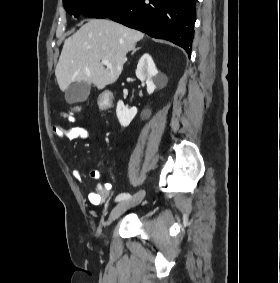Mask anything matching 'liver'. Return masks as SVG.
I'll use <instances>...</instances> for the list:
<instances>
[{
    "instance_id": "liver-1",
    "label": "liver",
    "mask_w": 280,
    "mask_h": 283,
    "mask_svg": "<svg viewBox=\"0 0 280 283\" xmlns=\"http://www.w3.org/2000/svg\"><path fill=\"white\" fill-rule=\"evenodd\" d=\"M144 34L105 19H91L67 38L55 75L62 91L73 82H87L98 89L114 83L120 76L126 55L135 49ZM102 60H108L111 68Z\"/></svg>"
}]
</instances>
